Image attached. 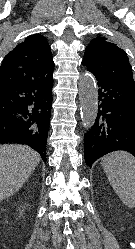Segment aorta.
Segmentation results:
<instances>
[{
    "mask_svg": "<svg viewBox=\"0 0 135 249\" xmlns=\"http://www.w3.org/2000/svg\"><path fill=\"white\" fill-rule=\"evenodd\" d=\"M79 98L83 126L91 127L98 112V90L94 77L87 72L79 80Z\"/></svg>",
    "mask_w": 135,
    "mask_h": 249,
    "instance_id": "762f6f07",
    "label": "aorta"
}]
</instances>
